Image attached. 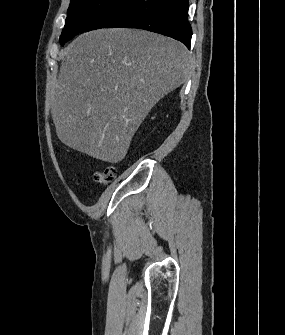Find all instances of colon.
I'll use <instances>...</instances> for the list:
<instances>
[{
	"mask_svg": "<svg viewBox=\"0 0 285 335\" xmlns=\"http://www.w3.org/2000/svg\"><path fill=\"white\" fill-rule=\"evenodd\" d=\"M115 175V168L107 167L105 170L98 172L95 177L99 183L108 184L114 179Z\"/></svg>",
	"mask_w": 285,
	"mask_h": 335,
	"instance_id": "colon-1",
	"label": "colon"
}]
</instances>
